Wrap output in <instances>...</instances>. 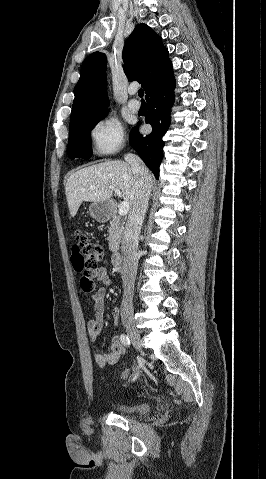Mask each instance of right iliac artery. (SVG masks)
<instances>
[{"mask_svg": "<svg viewBox=\"0 0 266 479\" xmlns=\"http://www.w3.org/2000/svg\"><path fill=\"white\" fill-rule=\"evenodd\" d=\"M119 339L124 346L126 347L130 346V339L127 335L121 334ZM137 376H138V373L133 377L132 381L136 380Z\"/></svg>", "mask_w": 266, "mask_h": 479, "instance_id": "82829eb1", "label": "right iliac artery"}]
</instances>
